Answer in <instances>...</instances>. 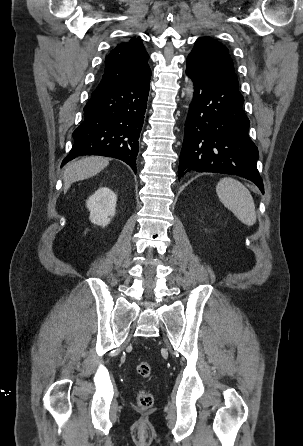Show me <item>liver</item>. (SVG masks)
I'll use <instances>...</instances> for the list:
<instances>
[{
	"label": "liver",
	"instance_id": "1",
	"mask_svg": "<svg viewBox=\"0 0 303 446\" xmlns=\"http://www.w3.org/2000/svg\"><path fill=\"white\" fill-rule=\"evenodd\" d=\"M108 164V159L98 156L85 157L68 164L63 175L64 193L68 191L72 183L98 174Z\"/></svg>",
	"mask_w": 303,
	"mask_h": 446
}]
</instances>
